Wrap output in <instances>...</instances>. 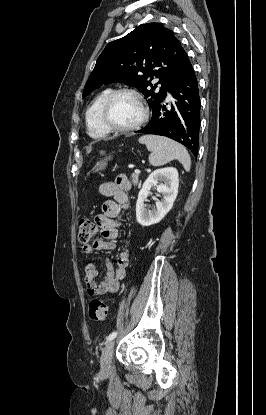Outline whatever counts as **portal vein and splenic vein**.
Returning a JSON list of instances; mask_svg holds the SVG:
<instances>
[{"label":"portal vein and splenic vein","mask_w":266,"mask_h":415,"mask_svg":"<svg viewBox=\"0 0 266 415\" xmlns=\"http://www.w3.org/2000/svg\"><path fill=\"white\" fill-rule=\"evenodd\" d=\"M140 172H141V171H140L139 169H135V170H134V173H135V174H139Z\"/></svg>","instance_id":"18ae733b"}]
</instances>
